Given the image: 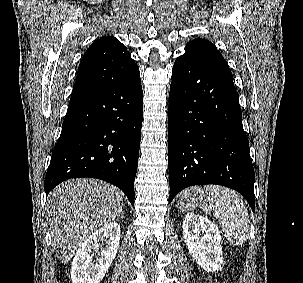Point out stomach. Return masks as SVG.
<instances>
[{
	"instance_id": "stomach-1",
	"label": "stomach",
	"mask_w": 303,
	"mask_h": 283,
	"mask_svg": "<svg viewBox=\"0 0 303 283\" xmlns=\"http://www.w3.org/2000/svg\"><path fill=\"white\" fill-rule=\"evenodd\" d=\"M205 194L202 189L190 188L183 192L177 201V207L180 209H194L205 204Z\"/></svg>"
}]
</instances>
